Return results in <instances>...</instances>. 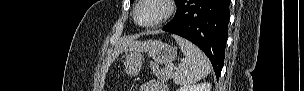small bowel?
Wrapping results in <instances>:
<instances>
[{
  "mask_svg": "<svg viewBox=\"0 0 304 91\" xmlns=\"http://www.w3.org/2000/svg\"><path fill=\"white\" fill-rule=\"evenodd\" d=\"M141 90L144 91H167V88L165 87V85L158 81V80H152L150 82H148L147 84H145Z\"/></svg>",
  "mask_w": 304,
  "mask_h": 91,
  "instance_id": "1",
  "label": "small bowel"
}]
</instances>
